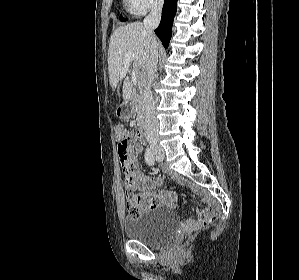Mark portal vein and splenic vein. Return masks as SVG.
Wrapping results in <instances>:
<instances>
[{
	"label": "portal vein and splenic vein",
	"mask_w": 299,
	"mask_h": 280,
	"mask_svg": "<svg viewBox=\"0 0 299 280\" xmlns=\"http://www.w3.org/2000/svg\"><path fill=\"white\" fill-rule=\"evenodd\" d=\"M125 60L126 62H131L134 60V54L132 52H127L125 53ZM124 76V75H123ZM132 80L133 83L136 84L137 83V71H133L132 72Z\"/></svg>",
	"instance_id": "portal-vein-and-splenic-vein-1"
}]
</instances>
